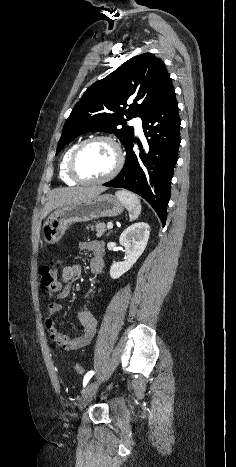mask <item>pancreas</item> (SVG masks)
I'll return each instance as SVG.
<instances>
[{"mask_svg": "<svg viewBox=\"0 0 236 467\" xmlns=\"http://www.w3.org/2000/svg\"><path fill=\"white\" fill-rule=\"evenodd\" d=\"M91 230L96 231L97 237H101L106 232V226L104 223L97 222L96 224L91 225Z\"/></svg>", "mask_w": 236, "mask_h": 467, "instance_id": "cf45deb5", "label": "pancreas"}]
</instances>
